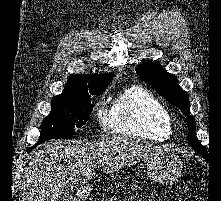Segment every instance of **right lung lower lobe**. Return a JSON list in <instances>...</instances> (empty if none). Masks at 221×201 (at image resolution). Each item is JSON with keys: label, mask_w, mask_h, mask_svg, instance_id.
I'll use <instances>...</instances> for the list:
<instances>
[{"label": "right lung lower lobe", "mask_w": 221, "mask_h": 201, "mask_svg": "<svg viewBox=\"0 0 221 201\" xmlns=\"http://www.w3.org/2000/svg\"><path fill=\"white\" fill-rule=\"evenodd\" d=\"M40 143L39 142H37L33 147H30L29 149H27V150H32L33 148H35L37 145H39Z\"/></svg>", "instance_id": "obj_1"}]
</instances>
